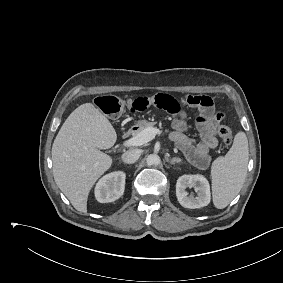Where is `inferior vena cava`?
Returning a JSON list of instances; mask_svg holds the SVG:
<instances>
[{"instance_id":"inferior-vena-cava-1","label":"inferior vena cava","mask_w":283,"mask_h":283,"mask_svg":"<svg viewBox=\"0 0 283 283\" xmlns=\"http://www.w3.org/2000/svg\"><path fill=\"white\" fill-rule=\"evenodd\" d=\"M141 155V151L139 149H130L122 154L123 162L127 164L135 163Z\"/></svg>"}]
</instances>
